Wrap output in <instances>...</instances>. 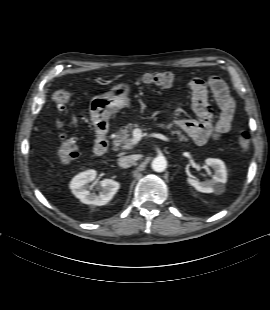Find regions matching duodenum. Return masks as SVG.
<instances>
[{"instance_id":"410a0bca","label":"duodenum","mask_w":270,"mask_h":310,"mask_svg":"<svg viewBox=\"0 0 270 310\" xmlns=\"http://www.w3.org/2000/svg\"><path fill=\"white\" fill-rule=\"evenodd\" d=\"M108 126L105 123H100L96 128V142L94 145V153L101 156L106 153L109 147Z\"/></svg>"}]
</instances>
